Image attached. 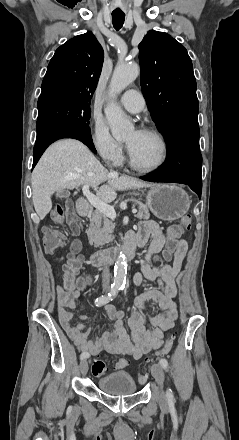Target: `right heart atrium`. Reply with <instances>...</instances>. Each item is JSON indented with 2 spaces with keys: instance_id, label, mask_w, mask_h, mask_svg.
Instances as JSON below:
<instances>
[{
  "instance_id": "d8ad5b80",
  "label": "right heart atrium",
  "mask_w": 239,
  "mask_h": 440,
  "mask_svg": "<svg viewBox=\"0 0 239 440\" xmlns=\"http://www.w3.org/2000/svg\"><path fill=\"white\" fill-rule=\"evenodd\" d=\"M90 139L99 155L107 162L118 164L123 155V146L117 142L107 131L105 126L94 121Z\"/></svg>"
}]
</instances>
